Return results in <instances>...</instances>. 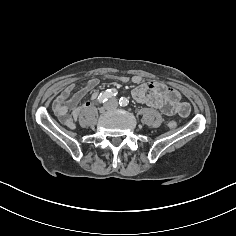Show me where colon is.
Segmentation results:
<instances>
[{
    "label": "colon",
    "mask_w": 236,
    "mask_h": 236,
    "mask_svg": "<svg viewBox=\"0 0 236 236\" xmlns=\"http://www.w3.org/2000/svg\"><path fill=\"white\" fill-rule=\"evenodd\" d=\"M169 126L173 128L176 126V124H175V122H170Z\"/></svg>",
    "instance_id": "1"
}]
</instances>
